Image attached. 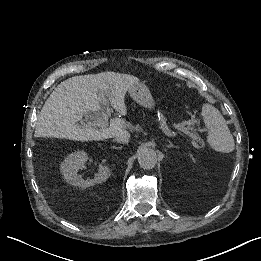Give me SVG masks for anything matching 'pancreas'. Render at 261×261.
Segmentation results:
<instances>
[{"mask_svg": "<svg viewBox=\"0 0 261 261\" xmlns=\"http://www.w3.org/2000/svg\"><path fill=\"white\" fill-rule=\"evenodd\" d=\"M147 110H153V105H147V107H142L139 108V110H134L133 116H138L140 115V113L147 112ZM154 110H160V112H165V115H167L168 117H172L173 119H176V121L183 122V124H185L184 127H186L191 133L199 137V133H196L195 128L191 126V123H188V119H185V117H182L177 113H173V111L165 110V107H163V105H154Z\"/></svg>", "mask_w": 261, "mask_h": 261, "instance_id": "1", "label": "pancreas"}]
</instances>
